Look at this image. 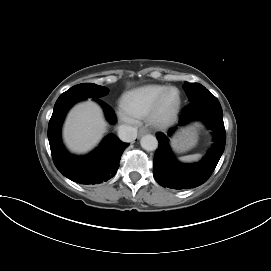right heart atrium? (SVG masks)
Returning <instances> with one entry per match:
<instances>
[{
  "label": "right heart atrium",
  "mask_w": 271,
  "mask_h": 271,
  "mask_svg": "<svg viewBox=\"0 0 271 271\" xmlns=\"http://www.w3.org/2000/svg\"><path fill=\"white\" fill-rule=\"evenodd\" d=\"M120 119L125 123H133V117L130 116L123 108L118 111Z\"/></svg>",
  "instance_id": "1"
}]
</instances>
